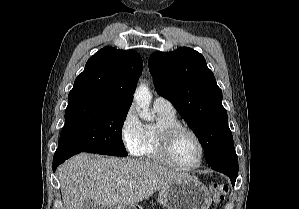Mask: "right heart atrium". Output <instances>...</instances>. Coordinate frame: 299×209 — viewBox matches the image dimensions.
<instances>
[{
	"label": "right heart atrium",
	"mask_w": 299,
	"mask_h": 209,
	"mask_svg": "<svg viewBox=\"0 0 299 209\" xmlns=\"http://www.w3.org/2000/svg\"><path fill=\"white\" fill-rule=\"evenodd\" d=\"M120 136L126 150L132 155H137L143 140V124L133 106L123 116Z\"/></svg>",
	"instance_id": "obj_1"
}]
</instances>
